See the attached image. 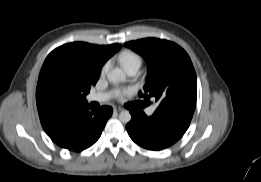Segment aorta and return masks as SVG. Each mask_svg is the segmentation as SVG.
Instances as JSON below:
<instances>
[{"instance_id":"1","label":"aorta","mask_w":261,"mask_h":182,"mask_svg":"<svg viewBox=\"0 0 261 182\" xmlns=\"http://www.w3.org/2000/svg\"><path fill=\"white\" fill-rule=\"evenodd\" d=\"M125 73L123 70H121L120 68H114L112 69L111 71L108 72L107 74V78L108 80L111 82V83H114V84H118V83H121L123 81H125ZM119 120L122 122V123H128L130 122L131 120V114L129 111L125 110V111H122L120 114H119Z\"/></svg>"}]
</instances>
